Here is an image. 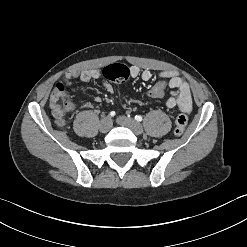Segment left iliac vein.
<instances>
[{"label": "left iliac vein", "mask_w": 247, "mask_h": 247, "mask_svg": "<svg viewBox=\"0 0 247 247\" xmlns=\"http://www.w3.org/2000/svg\"><path fill=\"white\" fill-rule=\"evenodd\" d=\"M117 123L121 126L128 127L136 135H141L144 131L142 125L139 122L129 117L119 116L117 118Z\"/></svg>", "instance_id": "left-iliac-vein-1"}]
</instances>
